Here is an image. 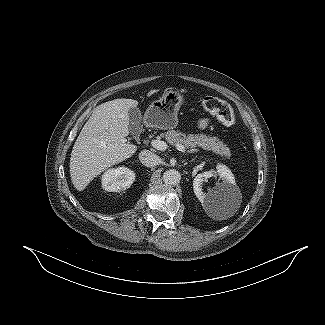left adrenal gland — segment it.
Here are the masks:
<instances>
[{"instance_id": "1", "label": "left adrenal gland", "mask_w": 325, "mask_h": 325, "mask_svg": "<svg viewBox=\"0 0 325 325\" xmlns=\"http://www.w3.org/2000/svg\"><path fill=\"white\" fill-rule=\"evenodd\" d=\"M196 158L192 159L191 162H193Z\"/></svg>"}]
</instances>
